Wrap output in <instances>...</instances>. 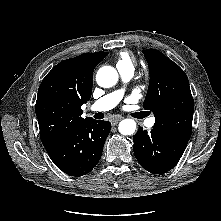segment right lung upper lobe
I'll return each instance as SVG.
<instances>
[{"instance_id":"right-lung-upper-lobe-1","label":"right lung upper lobe","mask_w":221,"mask_h":221,"mask_svg":"<svg viewBox=\"0 0 221 221\" xmlns=\"http://www.w3.org/2000/svg\"><path fill=\"white\" fill-rule=\"evenodd\" d=\"M107 55L100 51L64 60L42 80L35 112L44 146L92 119L81 117V106L91 97L94 68Z\"/></svg>"}]
</instances>
